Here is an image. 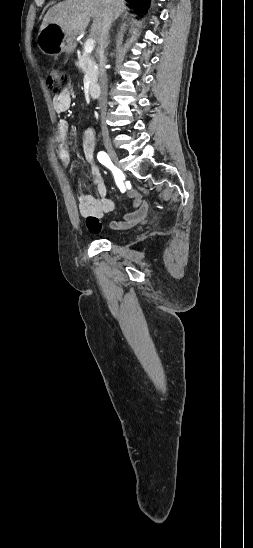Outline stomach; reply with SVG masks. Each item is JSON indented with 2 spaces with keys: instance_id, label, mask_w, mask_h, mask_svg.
Instances as JSON below:
<instances>
[{
  "instance_id": "0dacf381",
  "label": "stomach",
  "mask_w": 253,
  "mask_h": 548,
  "mask_svg": "<svg viewBox=\"0 0 253 548\" xmlns=\"http://www.w3.org/2000/svg\"><path fill=\"white\" fill-rule=\"evenodd\" d=\"M37 46L44 54L54 56L72 53L75 49L74 37L67 36L61 28L54 24H49L40 30L37 36Z\"/></svg>"
}]
</instances>
